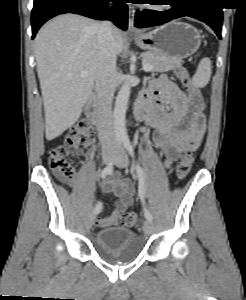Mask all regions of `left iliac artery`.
Listing matches in <instances>:
<instances>
[{
	"label": "left iliac artery",
	"mask_w": 246,
	"mask_h": 300,
	"mask_svg": "<svg viewBox=\"0 0 246 300\" xmlns=\"http://www.w3.org/2000/svg\"><path fill=\"white\" fill-rule=\"evenodd\" d=\"M123 144L124 147L126 148V150L128 151V153L134 157V151H133V147L132 144L129 140L128 137L123 138ZM136 172L138 175V195L139 198L142 202L143 205V210H144V215L145 218L148 220H152V214L150 213V211L147 209L146 205H145V196H146V179H145V172L143 170V168L137 163L136 164Z\"/></svg>",
	"instance_id": "1"
}]
</instances>
